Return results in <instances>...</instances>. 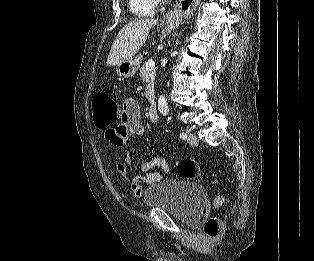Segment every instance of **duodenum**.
<instances>
[{"label": "duodenum", "instance_id": "obj_1", "mask_svg": "<svg viewBox=\"0 0 314 261\" xmlns=\"http://www.w3.org/2000/svg\"><path fill=\"white\" fill-rule=\"evenodd\" d=\"M148 115L151 121L156 122L158 120V111L155 105L152 104L149 106Z\"/></svg>", "mask_w": 314, "mask_h": 261}]
</instances>
